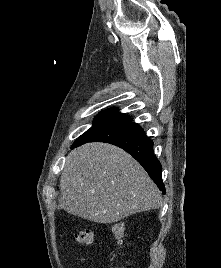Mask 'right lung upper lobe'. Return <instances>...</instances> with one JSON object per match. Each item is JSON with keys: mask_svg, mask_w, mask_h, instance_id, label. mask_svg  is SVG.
<instances>
[{"mask_svg": "<svg viewBox=\"0 0 221 268\" xmlns=\"http://www.w3.org/2000/svg\"><path fill=\"white\" fill-rule=\"evenodd\" d=\"M102 112H106V113H110V114H113V115H116V116H120V117H123L126 119L127 122H130L132 121L131 118L129 117H126L125 115L121 114L118 112V110L116 108H112V109H108L107 111H102Z\"/></svg>", "mask_w": 221, "mask_h": 268, "instance_id": "obj_1", "label": "right lung upper lobe"}]
</instances>
